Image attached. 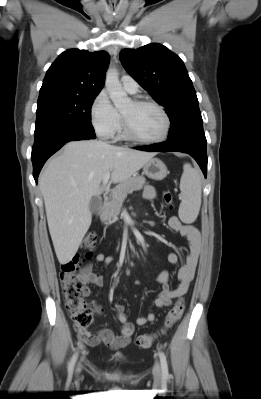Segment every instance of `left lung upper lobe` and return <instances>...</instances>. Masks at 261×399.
<instances>
[{"mask_svg":"<svg viewBox=\"0 0 261 399\" xmlns=\"http://www.w3.org/2000/svg\"><path fill=\"white\" fill-rule=\"evenodd\" d=\"M126 71L167 110L171 122L168 141L203 133V120L192 81L183 61L161 44L123 49Z\"/></svg>","mask_w":261,"mask_h":399,"instance_id":"left-lung-upper-lobe-1","label":"left lung upper lobe"}]
</instances>
